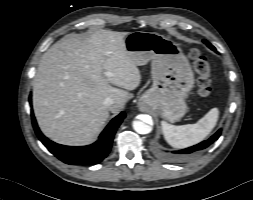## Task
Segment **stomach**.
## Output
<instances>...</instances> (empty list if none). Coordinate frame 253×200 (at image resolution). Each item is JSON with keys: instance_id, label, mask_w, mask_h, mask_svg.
I'll list each match as a JSON object with an SVG mask.
<instances>
[{"instance_id": "1", "label": "stomach", "mask_w": 253, "mask_h": 200, "mask_svg": "<svg viewBox=\"0 0 253 200\" xmlns=\"http://www.w3.org/2000/svg\"><path fill=\"white\" fill-rule=\"evenodd\" d=\"M137 66L151 61L153 85L139 99V106L174 122L186 111L185 98L194 85L191 65L178 44L153 32L135 31L124 39Z\"/></svg>"}]
</instances>
